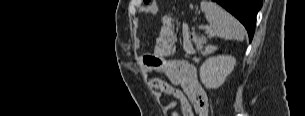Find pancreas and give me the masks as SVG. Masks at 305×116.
<instances>
[{"instance_id": "1", "label": "pancreas", "mask_w": 305, "mask_h": 116, "mask_svg": "<svg viewBox=\"0 0 305 116\" xmlns=\"http://www.w3.org/2000/svg\"><path fill=\"white\" fill-rule=\"evenodd\" d=\"M192 41L195 43L196 48H197L198 50H202L203 44L206 42V39L203 38V37L193 36ZM185 51H186L188 54H193V53H194V50H192V49L189 48V47L185 48Z\"/></svg>"}]
</instances>
